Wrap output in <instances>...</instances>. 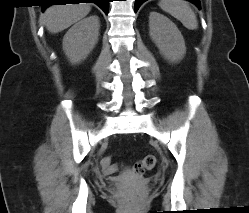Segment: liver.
<instances>
[{"label": "liver", "mask_w": 249, "mask_h": 213, "mask_svg": "<svg viewBox=\"0 0 249 213\" xmlns=\"http://www.w3.org/2000/svg\"><path fill=\"white\" fill-rule=\"evenodd\" d=\"M91 10L89 3L53 5L42 15V21L51 33L61 32L80 21Z\"/></svg>", "instance_id": "6515ba94"}]
</instances>
